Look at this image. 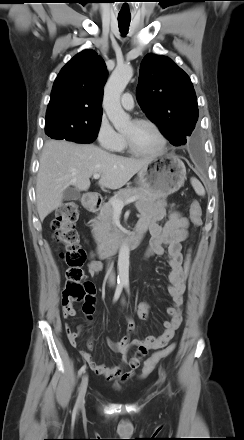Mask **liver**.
<instances>
[{"label":"liver","mask_w":244,"mask_h":440,"mask_svg":"<svg viewBox=\"0 0 244 440\" xmlns=\"http://www.w3.org/2000/svg\"><path fill=\"white\" fill-rule=\"evenodd\" d=\"M152 159H133L106 152L93 144L47 141L40 157L36 205L41 221L62 204L69 186L79 191L90 187V177L100 174L98 184L116 190L123 187Z\"/></svg>","instance_id":"1"}]
</instances>
